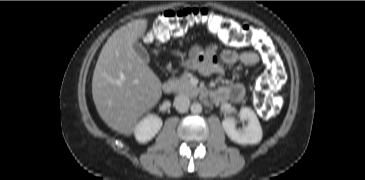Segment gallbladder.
Wrapping results in <instances>:
<instances>
[{
	"instance_id": "obj_1",
	"label": "gallbladder",
	"mask_w": 365,
	"mask_h": 180,
	"mask_svg": "<svg viewBox=\"0 0 365 180\" xmlns=\"http://www.w3.org/2000/svg\"><path fill=\"white\" fill-rule=\"evenodd\" d=\"M133 49L136 52V54L145 62V63H149L150 62V56L149 53L147 52V50L139 43V42H135L133 44Z\"/></svg>"
}]
</instances>
